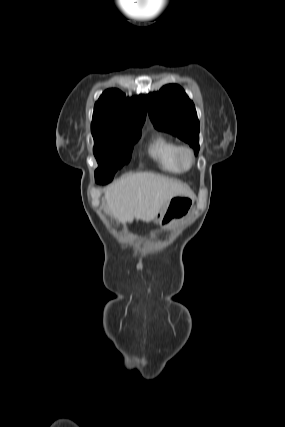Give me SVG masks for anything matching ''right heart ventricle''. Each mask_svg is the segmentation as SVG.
Segmentation results:
<instances>
[{
	"instance_id": "obj_1",
	"label": "right heart ventricle",
	"mask_w": 285,
	"mask_h": 427,
	"mask_svg": "<svg viewBox=\"0 0 285 427\" xmlns=\"http://www.w3.org/2000/svg\"><path fill=\"white\" fill-rule=\"evenodd\" d=\"M178 147V143L172 138L158 134L149 144L148 155L160 170L170 174H180L183 171L176 161Z\"/></svg>"
}]
</instances>
